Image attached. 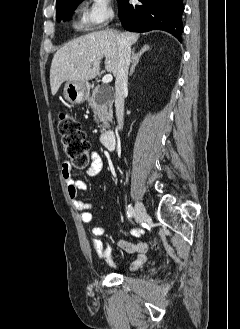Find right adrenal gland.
Segmentation results:
<instances>
[{"instance_id": "2a0ac1e0", "label": "right adrenal gland", "mask_w": 240, "mask_h": 329, "mask_svg": "<svg viewBox=\"0 0 240 329\" xmlns=\"http://www.w3.org/2000/svg\"><path fill=\"white\" fill-rule=\"evenodd\" d=\"M150 50L149 45H144L143 48L139 51V53H135V49L132 51V67L130 69L129 75L132 76L135 70L136 65L138 64L141 56L146 52Z\"/></svg>"}]
</instances>
